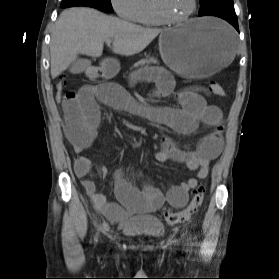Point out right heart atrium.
I'll return each instance as SVG.
<instances>
[{
  "mask_svg": "<svg viewBox=\"0 0 279 279\" xmlns=\"http://www.w3.org/2000/svg\"><path fill=\"white\" fill-rule=\"evenodd\" d=\"M116 14L128 21H135L139 11L141 0H110Z\"/></svg>",
  "mask_w": 279,
  "mask_h": 279,
  "instance_id": "d8ad5b80",
  "label": "right heart atrium"
}]
</instances>
